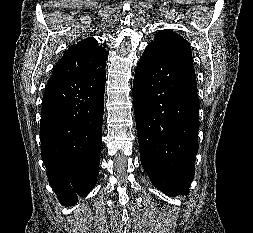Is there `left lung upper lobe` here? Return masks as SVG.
Returning <instances> with one entry per match:
<instances>
[{"label":"left lung upper lobe","instance_id":"left-lung-upper-lobe-1","mask_svg":"<svg viewBox=\"0 0 253 233\" xmlns=\"http://www.w3.org/2000/svg\"><path fill=\"white\" fill-rule=\"evenodd\" d=\"M149 45L161 51L193 60L189 43L171 30L159 31L155 35L154 42Z\"/></svg>","mask_w":253,"mask_h":233}]
</instances>
